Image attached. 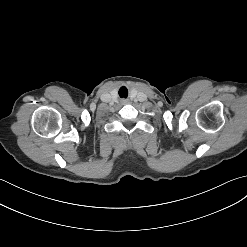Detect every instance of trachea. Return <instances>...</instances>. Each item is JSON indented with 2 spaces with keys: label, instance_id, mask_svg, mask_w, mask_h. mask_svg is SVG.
<instances>
[{
  "label": "trachea",
  "instance_id": "obj_1",
  "mask_svg": "<svg viewBox=\"0 0 247 247\" xmlns=\"http://www.w3.org/2000/svg\"><path fill=\"white\" fill-rule=\"evenodd\" d=\"M119 96L121 98H127L128 96V90L125 86H122L120 89H119Z\"/></svg>",
  "mask_w": 247,
  "mask_h": 247
}]
</instances>
